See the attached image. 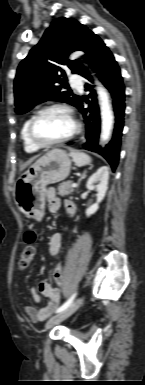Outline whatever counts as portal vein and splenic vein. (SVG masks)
Instances as JSON below:
<instances>
[{
	"label": "portal vein and splenic vein",
	"mask_w": 145,
	"mask_h": 385,
	"mask_svg": "<svg viewBox=\"0 0 145 385\" xmlns=\"http://www.w3.org/2000/svg\"><path fill=\"white\" fill-rule=\"evenodd\" d=\"M72 187H77V184L76 183H72Z\"/></svg>",
	"instance_id": "1"
}]
</instances>
